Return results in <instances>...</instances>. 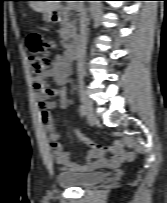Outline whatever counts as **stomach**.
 Returning <instances> with one entry per match:
<instances>
[{"label":"stomach","instance_id":"0dacf381","mask_svg":"<svg viewBox=\"0 0 167 203\" xmlns=\"http://www.w3.org/2000/svg\"><path fill=\"white\" fill-rule=\"evenodd\" d=\"M53 18H54V14L52 12H47V13H44V15H43V19L46 22H52Z\"/></svg>","mask_w":167,"mask_h":203}]
</instances>
